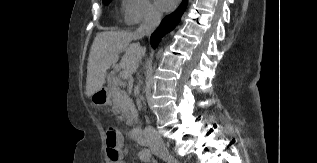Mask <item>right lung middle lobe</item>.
<instances>
[{"mask_svg": "<svg viewBox=\"0 0 317 163\" xmlns=\"http://www.w3.org/2000/svg\"><path fill=\"white\" fill-rule=\"evenodd\" d=\"M105 5H108L112 0H102Z\"/></svg>", "mask_w": 317, "mask_h": 163, "instance_id": "obj_1", "label": "right lung middle lobe"}]
</instances>
